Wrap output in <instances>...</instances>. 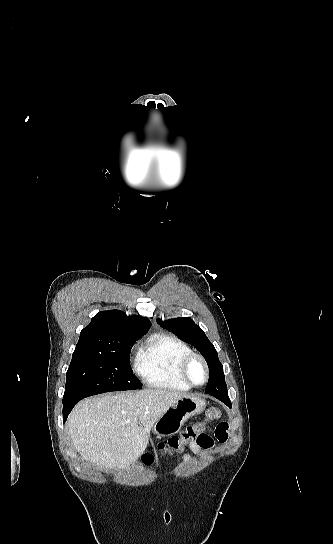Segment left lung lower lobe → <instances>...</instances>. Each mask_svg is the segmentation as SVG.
<instances>
[{
  "label": "left lung lower lobe",
  "instance_id": "obj_1",
  "mask_svg": "<svg viewBox=\"0 0 333 544\" xmlns=\"http://www.w3.org/2000/svg\"><path fill=\"white\" fill-rule=\"evenodd\" d=\"M207 394H210L212 396H214L215 398L219 399L220 401H222L223 403H225L228 407H231V401L228 397V393H225V392H210V393H207Z\"/></svg>",
  "mask_w": 333,
  "mask_h": 544
}]
</instances>
